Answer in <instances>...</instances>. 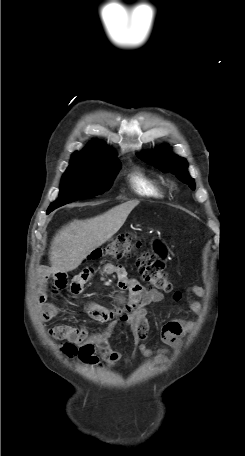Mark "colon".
I'll return each instance as SVG.
<instances>
[{"label": "colon", "instance_id": "5ec220e1", "mask_svg": "<svg viewBox=\"0 0 245 456\" xmlns=\"http://www.w3.org/2000/svg\"><path fill=\"white\" fill-rule=\"evenodd\" d=\"M143 244L131 234H123L110 241L104 248L93 251L91 259H99L107 256L113 259H128L136 255V267L144 281L148 283L151 289L172 293L173 297L178 300L181 295L174 291L173 284L168 280L163 272V264L147 250H142ZM63 349L69 354L74 353V347L71 344H65Z\"/></svg>", "mask_w": 245, "mask_h": 456}]
</instances>
